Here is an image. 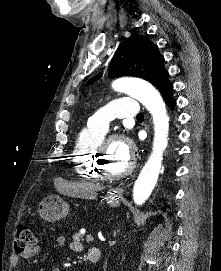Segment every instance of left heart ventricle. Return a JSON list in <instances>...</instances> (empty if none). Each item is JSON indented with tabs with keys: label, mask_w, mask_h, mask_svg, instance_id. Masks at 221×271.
I'll return each mask as SVG.
<instances>
[{
	"label": "left heart ventricle",
	"mask_w": 221,
	"mask_h": 271,
	"mask_svg": "<svg viewBox=\"0 0 221 271\" xmlns=\"http://www.w3.org/2000/svg\"><path fill=\"white\" fill-rule=\"evenodd\" d=\"M126 163V156H108L104 161L109 175H124L123 168H126Z\"/></svg>",
	"instance_id": "obj_1"
}]
</instances>
